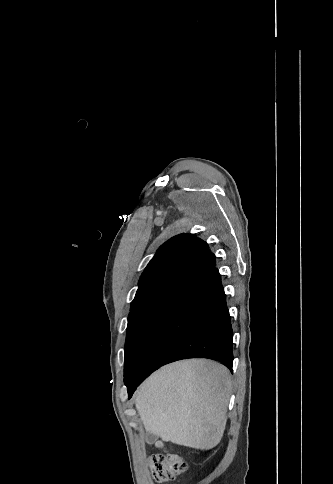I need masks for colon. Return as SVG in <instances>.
I'll list each match as a JSON object with an SVG mask.
<instances>
[{
    "instance_id": "5ec220e1",
    "label": "colon",
    "mask_w": 333,
    "mask_h": 484,
    "mask_svg": "<svg viewBox=\"0 0 333 484\" xmlns=\"http://www.w3.org/2000/svg\"><path fill=\"white\" fill-rule=\"evenodd\" d=\"M159 447L161 451L149 458L152 476L159 483L174 480L186 471V462L179 454L167 450L162 443Z\"/></svg>"
}]
</instances>
